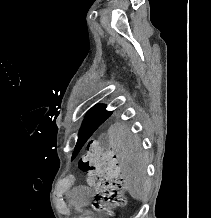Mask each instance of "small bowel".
<instances>
[{
	"label": "small bowel",
	"mask_w": 211,
	"mask_h": 218,
	"mask_svg": "<svg viewBox=\"0 0 211 218\" xmlns=\"http://www.w3.org/2000/svg\"><path fill=\"white\" fill-rule=\"evenodd\" d=\"M92 194L93 192L89 187L81 186L72 189L68 193V198L73 204L78 205L84 203Z\"/></svg>",
	"instance_id": "c3829d8e"
}]
</instances>
